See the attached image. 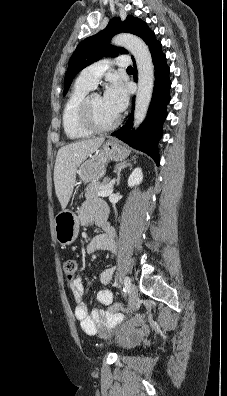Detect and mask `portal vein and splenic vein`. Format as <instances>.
<instances>
[{"mask_svg":"<svg viewBox=\"0 0 227 396\" xmlns=\"http://www.w3.org/2000/svg\"><path fill=\"white\" fill-rule=\"evenodd\" d=\"M113 192V183H110V185L105 189L99 192V195L102 197H106L110 195Z\"/></svg>","mask_w":227,"mask_h":396,"instance_id":"1","label":"portal vein and splenic vein"}]
</instances>
